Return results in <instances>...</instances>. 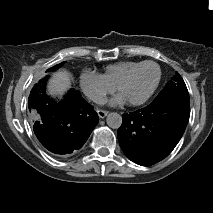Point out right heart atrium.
Wrapping results in <instances>:
<instances>
[{
    "instance_id": "right-heart-atrium-1",
    "label": "right heart atrium",
    "mask_w": 213,
    "mask_h": 213,
    "mask_svg": "<svg viewBox=\"0 0 213 213\" xmlns=\"http://www.w3.org/2000/svg\"><path fill=\"white\" fill-rule=\"evenodd\" d=\"M79 82L84 94L97 104L103 103L106 97L114 91V87L100 74L89 70L81 73Z\"/></svg>"
}]
</instances>
